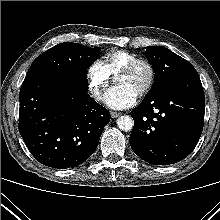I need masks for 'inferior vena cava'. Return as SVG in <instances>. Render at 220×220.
I'll return each instance as SVG.
<instances>
[{
  "label": "inferior vena cava",
  "instance_id": "inferior-vena-cava-1",
  "mask_svg": "<svg viewBox=\"0 0 220 220\" xmlns=\"http://www.w3.org/2000/svg\"><path fill=\"white\" fill-rule=\"evenodd\" d=\"M94 96L96 97V99H101V96H100V94L98 92L94 93Z\"/></svg>",
  "mask_w": 220,
  "mask_h": 220
}]
</instances>
